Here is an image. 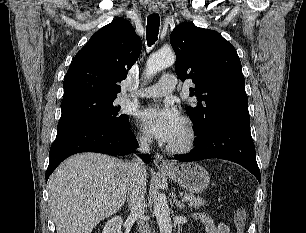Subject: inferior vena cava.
<instances>
[{
  "label": "inferior vena cava",
  "mask_w": 306,
  "mask_h": 233,
  "mask_svg": "<svg viewBox=\"0 0 306 233\" xmlns=\"http://www.w3.org/2000/svg\"><path fill=\"white\" fill-rule=\"evenodd\" d=\"M150 139L142 137L139 141V151L148 153L150 148ZM129 182L127 186V201L131 211V216L138 219L140 233H151L147 224L141 221L145 208V187H146V169L144 163L135 157L129 162Z\"/></svg>",
  "instance_id": "602c4592"
}]
</instances>
